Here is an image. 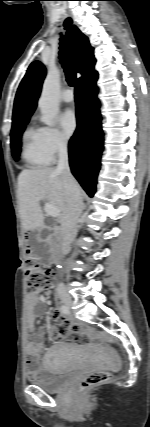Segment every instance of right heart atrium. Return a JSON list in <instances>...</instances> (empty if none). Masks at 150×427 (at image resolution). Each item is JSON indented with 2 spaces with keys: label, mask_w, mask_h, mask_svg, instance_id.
Segmentation results:
<instances>
[{
  "label": "right heart atrium",
  "mask_w": 150,
  "mask_h": 427,
  "mask_svg": "<svg viewBox=\"0 0 150 427\" xmlns=\"http://www.w3.org/2000/svg\"><path fill=\"white\" fill-rule=\"evenodd\" d=\"M39 130L44 154L48 161L52 162L59 154L66 151L67 140L56 127L44 126Z\"/></svg>",
  "instance_id": "d8ad5b80"
}]
</instances>
